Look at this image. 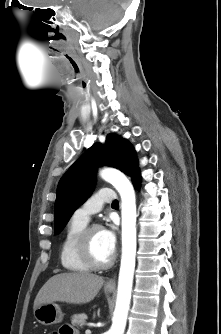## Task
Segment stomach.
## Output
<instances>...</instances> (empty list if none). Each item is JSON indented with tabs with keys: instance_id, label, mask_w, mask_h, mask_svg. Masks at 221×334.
I'll list each match as a JSON object with an SVG mask.
<instances>
[{
	"instance_id": "1",
	"label": "stomach",
	"mask_w": 221,
	"mask_h": 334,
	"mask_svg": "<svg viewBox=\"0 0 221 334\" xmlns=\"http://www.w3.org/2000/svg\"><path fill=\"white\" fill-rule=\"evenodd\" d=\"M105 292L111 293L113 289L105 288ZM35 319L43 325H53L63 320L61 308L56 303H45L34 310Z\"/></svg>"
}]
</instances>
